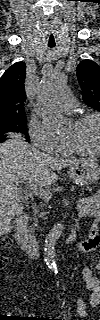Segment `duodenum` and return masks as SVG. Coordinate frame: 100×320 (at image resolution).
Here are the masks:
<instances>
[{"mask_svg":"<svg viewBox=\"0 0 100 320\" xmlns=\"http://www.w3.org/2000/svg\"><path fill=\"white\" fill-rule=\"evenodd\" d=\"M75 228L72 235L67 238L71 240L74 236ZM15 239L18 241L21 248L31 256H34L39 248V243L34 235L29 232L28 229V217L26 215L19 216L15 220Z\"/></svg>","mask_w":100,"mask_h":320,"instance_id":"1","label":"duodenum"}]
</instances>
